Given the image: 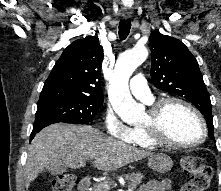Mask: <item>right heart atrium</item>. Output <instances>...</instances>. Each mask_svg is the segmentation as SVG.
Segmentation results:
<instances>
[{
  "instance_id": "obj_1",
  "label": "right heart atrium",
  "mask_w": 221,
  "mask_h": 191,
  "mask_svg": "<svg viewBox=\"0 0 221 191\" xmlns=\"http://www.w3.org/2000/svg\"><path fill=\"white\" fill-rule=\"evenodd\" d=\"M103 121L106 131L112 137L123 141H127L130 138L132 129L118 117L111 106L106 108Z\"/></svg>"
}]
</instances>
